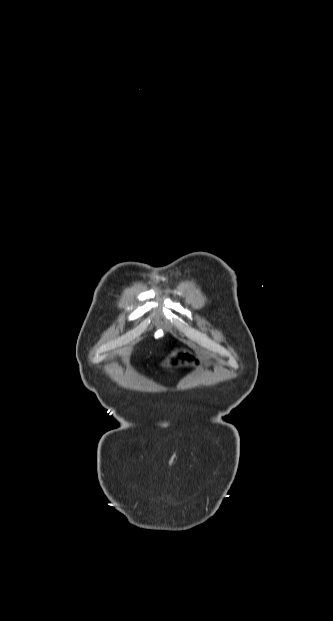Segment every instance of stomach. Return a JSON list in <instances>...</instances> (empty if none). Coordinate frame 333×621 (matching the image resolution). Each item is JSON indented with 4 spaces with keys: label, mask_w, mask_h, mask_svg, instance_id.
<instances>
[{
    "label": "stomach",
    "mask_w": 333,
    "mask_h": 621,
    "mask_svg": "<svg viewBox=\"0 0 333 621\" xmlns=\"http://www.w3.org/2000/svg\"><path fill=\"white\" fill-rule=\"evenodd\" d=\"M175 361L179 364L177 367L178 372H185V365L190 361L189 348L187 346H182L175 354ZM164 363L166 365H171L173 363V358L171 356H166L164 358Z\"/></svg>",
    "instance_id": "0dacf381"
}]
</instances>
